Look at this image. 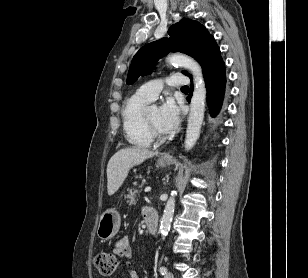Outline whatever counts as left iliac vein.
Returning a JSON list of instances; mask_svg holds the SVG:
<instances>
[{
    "label": "left iliac vein",
    "instance_id": "1",
    "mask_svg": "<svg viewBox=\"0 0 308 278\" xmlns=\"http://www.w3.org/2000/svg\"><path fill=\"white\" fill-rule=\"evenodd\" d=\"M164 278H174V276L171 272H167Z\"/></svg>",
    "mask_w": 308,
    "mask_h": 278
}]
</instances>
